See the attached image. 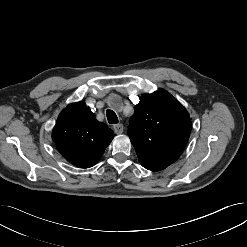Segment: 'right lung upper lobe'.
<instances>
[{
	"label": "right lung upper lobe",
	"mask_w": 247,
	"mask_h": 247,
	"mask_svg": "<svg viewBox=\"0 0 247 247\" xmlns=\"http://www.w3.org/2000/svg\"><path fill=\"white\" fill-rule=\"evenodd\" d=\"M113 137V131L98 122L83 101L68 105L59 114L52 133L61 155L80 168L95 165Z\"/></svg>",
	"instance_id": "cb5924a9"
}]
</instances>
